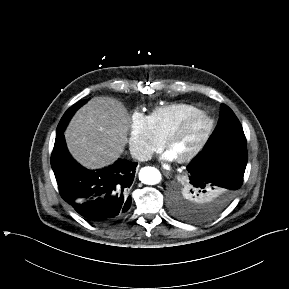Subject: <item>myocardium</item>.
Here are the masks:
<instances>
[{
	"label": "myocardium",
	"mask_w": 289,
	"mask_h": 289,
	"mask_svg": "<svg viewBox=\"0 0 289 289\" xmlns=\"http://www.w3.org/2000/svg\"><path fill=\"white\" fill-rule=\"evenodd\" d=\"M198 118L205 119L207 122V126L203 134L194 143V145L191 148H189L183 155L176 157L177 161L181 163L191 161L205 147V145L207 144L214 130V124H215L214 119L207 112L199 110L185 117L164 140V145L169 150L171 145L177 140H179L180 138H182L187 132L191 123Z\"/></svg>",
	"instance_id": "obj_1"
}]
</instances>
